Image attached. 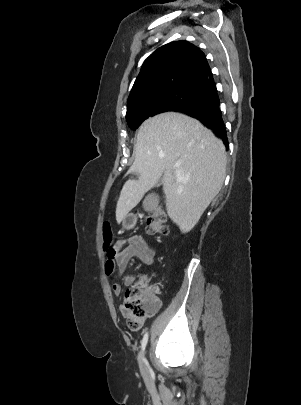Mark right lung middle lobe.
Wrapping results in <instances>:
<instances>
[{
	"instance_id": "dd1d6c3e",
	"label": "right lung middle lobe",
	"mask_w": 301,
	"mask_h": 405,
	"mask_svg": "<svg viewBox=\"0 0 301 405\" xmlns=\"http://www.w3.org/2000/svg\"><path fill=\"white\" fill-rule=\"evenodd\" d=\"M213 95L197 89L178 87L146 96L136 102L127 111L126 120L131 129H137L140 124L154 115L177 111L181 108L204 104L213 99Z\"/></svg>"
}]
</instances>
